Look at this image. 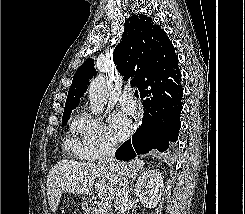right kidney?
I'll return each mask as SVG.
<instances>
[{
  "label": "right kidney",
  "instance_id": "right-kidney-1",
  "mask_svg": "<svg viewBox=\"0 0 245 214\" xmlns=\"http://www.w3.org/2000/svg\"><path fill=\"white\" fill-rule=\"evenodd\" d=\"M163 177L157 170H149L139 176L134 192L146 208H155L163 191Z\"/></svg>",
  "mask_w": 245,
  "mask_h": 214
}]
</instances>
